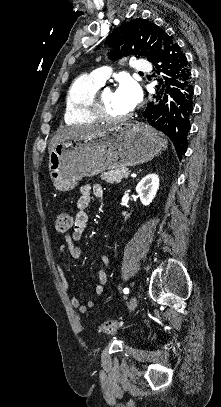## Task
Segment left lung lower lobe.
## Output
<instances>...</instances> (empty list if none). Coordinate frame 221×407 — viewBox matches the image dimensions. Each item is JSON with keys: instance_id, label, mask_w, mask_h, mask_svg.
Listing matches in <instances>:
<instances>
[{"instance_id": "left-lung-lower-lobe-1", "label": "left lung lower lobe", "mask_w": 221, "mask_h": 407, "mask_svg": "<svg viewBox=\"0 0 221 407\" xmlns=\"http://www.w3.org/2000/svg\"><path fill=\"white\" fill-rule=\"evenodd\" d=\"M154 65L165 74V95L159 105L148 104L143 117L172 140L181 157L187 150L186 137L193 111L191 72L180 46L170 36L164 41L161 56Z\"/></svg>"}]
</instances>
